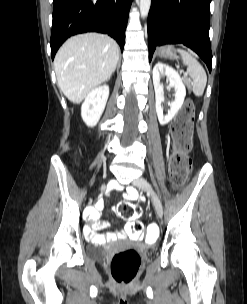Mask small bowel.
<instances>
[{
	"label": "small bowel",
	"mask_w": 247,
	"mask_h": 304,
	"mask_svg": "<svg viewBox=\"0 0 247 304\" xmlns=\"http://www.w3.org/2000/svg\"><path fill=\"white\" fill-rule=\"evenodd\" d=\"M127 198L128 199H137L139 198L138 192L133 188L127 189ZM99 215L97 211L90 212V224L85 229V234L88 240L92 241L93 243H105V242H112L116 239H122L128 235V224L126 225L124 231L113 233L109 232L106 234L98 233L99 230H102L107 227V223L104 221H100L98 219Z\"/></svg>",
	"instance_id": "c3829d8e"
}]
</instances>
